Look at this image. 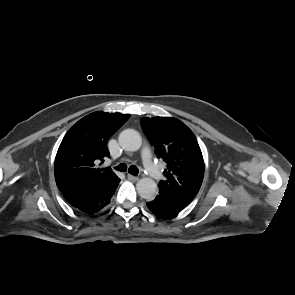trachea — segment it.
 Wrapping results in <instances>:
<instances>
[{
  "label": "trachea",
  "instance_id": "3493384b",
  "mask_svg": "<svg viewBox=\"0 0 295 295\" xmlns=\"http://www.w3.org/2000/svg\"><path fill=\"white\" fill-rule=\"evenodd\" d=\"M115 169L121 172H126L128 170V172L134 176H137L139 173V170L135 165H131L129 168H127V165L125 163H120L118 166L115 167Z\"/></svg>",
  "mask_w": 295,
  "mask_h": 295
}]
</instances>
